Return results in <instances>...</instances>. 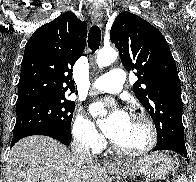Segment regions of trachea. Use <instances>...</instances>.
Segmentation results:
<instances>
[{
    "label": "trachea",
    "mask_w": 196,
    "mask_h": 182,
    "mask_svg": "<svg viewBox=\"0 0 196 182\" xmlns=\"http://www.w3.org/2000/svg\"><path fill=\"white\" fill-rule=\"evenodd\" d=\"M101 42V30L97 25H93L88 34V46L92 52H95Z\"/></svg>",
    "instance_id": "3493384b"
}]
</instances>
